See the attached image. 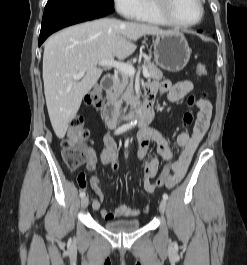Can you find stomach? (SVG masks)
Segmentation results:
<instances>
[{"label": "stomach", "mask_w": 247, "mask_h": 265, "mask_svg": "<svg viewBox=\"0 0 247 265\" xmlns=\"http://www.w3.org/2000/svg\"><path fill=\"white\" fill-rule=\"evenodd\" d=\"M154 61L164 70L179 72L187 65L191 49L180 32L157 35L154 42Z\"/></svg>", "instance_id": "0dacf381"}]
</instances>
